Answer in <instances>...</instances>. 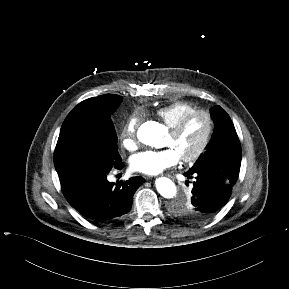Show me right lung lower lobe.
<instances>
[{"label":"right lung lower lobe","mask_w":289,"mask_h":289,"mask_svg":"<svg viewBox=\"0 0 289 289\" xmlns=\"http://www.w3.org/2000/svg\"><path fill=\"white\" fill-rule=\"evenodd\" d=\"M122 169V162L114 165ZM109 171L79 168L59 174L63 194L69 204L92 222L104 223L128 213L133 195L145 181L143 177L114 184L107 180Z\"/></svg>","instance_id":"1"}]
</instances>
